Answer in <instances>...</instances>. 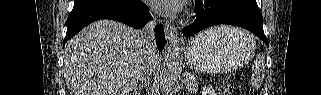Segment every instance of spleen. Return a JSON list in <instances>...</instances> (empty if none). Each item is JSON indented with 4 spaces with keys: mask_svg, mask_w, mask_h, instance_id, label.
Instances as JSON below:
<instances>
[{
    "mask_svg": "<svg viewBox=\"0 0 321 95\" xmlns=\"http://www.w3.org/2000/svg\"><path fill=\"white\" fill-rule=\"evenodd\" d=\"M236 30L235 28L227 27V26H220L215 27L208 30V33H215L218 31L219 33H226L230 31ZM252 77H251V84L254 88H259L264 79V72H265V59L264 55L259 53L256 57V60L253 62L252 65Z\"/></svg>",
    "mask_w": 321,
    "mask_h": 95,
    "instance_id": "obj_1",
    "label": "spleen"
}]
</instances>
